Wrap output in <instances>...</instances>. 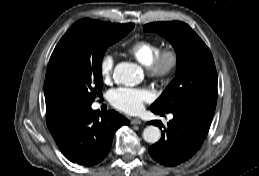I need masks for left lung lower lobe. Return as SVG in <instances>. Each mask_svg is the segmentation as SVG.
I'll use <instances>...</instances> for the list:
<instances>
[{"instance_id": "obj_1", "label": "left lung lower lobe", "mask_w": 259, "mask_h": 176, "mask_svg": "<svg viewBox=\"0 0 259 176\" xmlns=\"http://www.w3.org/2000/svg\"><path fill=\"white\" fill-rule=\"evenodd\" d=\"M151 111L155 114L160 113L154 109ZM171 113L174 117L167 123V128L158 120L148 123L164 127L161 139L149 148V154L166 166L178 165L197 152L208 134L213 118V114L193 108Z\"/></svg>"}]
</instances>
